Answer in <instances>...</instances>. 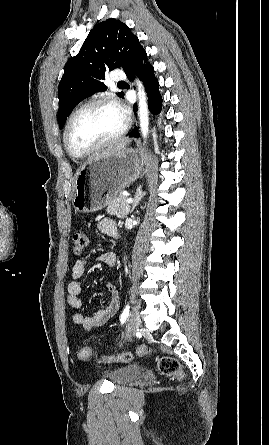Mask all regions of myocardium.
<instances>
[{"mask_svg": "<svg viewBox=\"0 0 269 445\" xmlns=\"http://www.w3.org/2000/svg\"><path fill=\"white\" fill-rule=\"evenodd\" d=\"M96 105H110V106H114V107H119V105L111 98L109 97H97V98H93L89 101H87L86 103L82 104L80 107H78L68 118L66 124H65V128H64V133H63V142H64V146L67 150V152L74 158L76 159H82V158H86L89 157L93 154L98 153L99 151L103 150L104 148L114 144L115 142H117L118 140H120L128 131L129 129V119L127 116H124L125 120H124V124L122 126V128L120 129V131L113 137L109 138L108 140L102 142L101 144L97 145L96 147L85 151V152H76L75 150L72 149V147L69 144V140H68V135H69V130H70V126L73 122V120L76 118L77 115H79L81 112H83L84 110L91 108L93 106Z\"/></svg>", "mask_w": 269, "mask_h": 445, "instance_id": "f54148a6", "label": "myocardium"}]
</instances>
